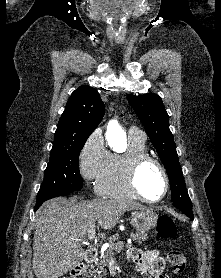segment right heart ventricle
<instances>
[{"label": "right heart ventricle", "mask_w": 221, "mask_h": 278, "mask_svg": "<svg viewBox=\"0 0 221 278\" xmlns=\"http://www.w3.org/2000/svg\"><path fill=\"white\" fill-rule=\"evenodd\" d=\"M138 154H147L145 138L132 135L129 137L125 152L110 153L107 168L96 184L101 195L118 199L136 198L128 187L125 167L127 159Z\"/></svg>", "instance_id": "1"}]
</instances>
